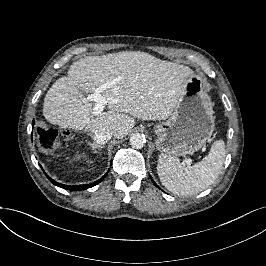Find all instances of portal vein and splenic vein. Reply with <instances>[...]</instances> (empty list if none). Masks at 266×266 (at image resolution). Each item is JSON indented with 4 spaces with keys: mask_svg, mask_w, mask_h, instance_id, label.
<instances>
[{
    "mask_svg": "<svg viewBox=\"0 0 266 266\" xmlns=\"http://www.w3.org/2000/svg\"><path fill=\"white\" fill-rule=\"evenodd\" d=\"M115 83L111 82L108 84H104L101 88H99L98 90L89 93L86 98H84L85 102H94V108H93V114H100L104 111L105 107L107 106L108 102H119L120 99L116 98V97H111V98H106L104 96L101 95V91L104 90L107 87L113 86ZM185 165H190L191 160H185L183 162Z\"/></svg>",
    "mask_w": 266,
    "mask_h": 266,
    "instance_id": "18ae733b",
    "label": "portal vein and splenic vein"
}]
</instances>
